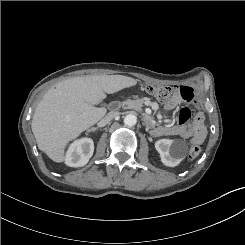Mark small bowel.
<instances>
[{"mask_svg":"<svg viewBox=\"0 0 245 245\" xmlns=\"http://www.w3.org/2000/svg\"><path fill=\"white\" fill-rule=\"evenodd\" d=\"M196 99L194 90L190 86H180L176 88L173 96L165 103V108L173 110L183 102L192 103ZM153 136H180L188 139L192 144H201L207 136V129L204 125V115L197 112L192 115L188 107L180 110L177 123L166 126H156L153 122L148 125Z\"/></svg>","mask_w":245,"mask_h":245,"instance_id":"small-bowel-1","label":"small bowel"}]
</instances>
